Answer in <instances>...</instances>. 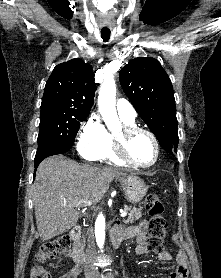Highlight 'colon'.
Instances as JSON below:
<instances>
[{
  "label": "colon",
  "instance_id": "obj_1",
  "mask_svg": "<svg viewBox=\"0 0 221 278\" xmlns=\"http://www.w3.org/2000/svg\"><path fill=\"white\" fill-rule=\"evenodd\" d=\"M145 207L149 215L148 247L150 250L160 253L164 249L167 221L163 217L164 207L157 196L150 195L145 200ZM71 240L68 236L44 243L36 254L38 264L30 271V278H51L49 272L41 265L48 258H55L59 253L69 249Z\"/></svg>",
  "mask_w": 221,
  "mask_h": 278
}]
</instances>
